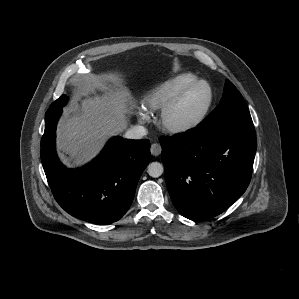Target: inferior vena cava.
<instances>
[{
  "label": "inferior vena cava",
  "mask_w": 299,
  "mask_h": 299,
  "mask_svg": "<svg viewBox=\"0 0 299 299\" xmlns=\"http://www.w3.org/2000/svg\"><path fill=\"white\" fill-rule=\"evenodd\" d=\"M146 134H147V130L145 129V127L136 125V126L131 127L125 133V137L128 139H141Z\"/></svg>",
  "instance_id": "obj_1"
}]
</instances>
